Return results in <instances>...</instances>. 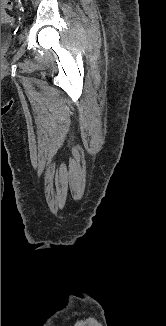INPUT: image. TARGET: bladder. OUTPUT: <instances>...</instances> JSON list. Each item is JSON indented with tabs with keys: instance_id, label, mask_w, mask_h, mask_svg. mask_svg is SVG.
<instances>
[{
	"instance_id": "1",
	"label": "bladder",
	"mask_w": 166,
	"mask_h": 326,
	"mask_svg": "<svg viewBox=\"0 0 166 326\" xmlns=\"http://www.w3.org/2000/svg\"><path fill=\"white\" fill-rule=\"evenodd\" d=\"M4 12H5V11L1 8V15L4 14Z\"/></svg>"
}]
</instances>
